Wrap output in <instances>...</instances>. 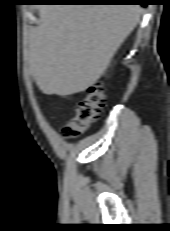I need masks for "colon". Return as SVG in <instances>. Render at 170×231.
<instances>
[{
    "instance_id": "5ec220e1",
    "label": "colon",
    "mask_w": 170,
    "mask_h": 231,
    "mask_svg": "<svg viewBox=\"0 0 170 231\" xmlns=\"http://www.w3.org/2000/svg\"><path fill=\"white\" fill-rule=\"evenodd\" d=\"M105 101V86L101 82H95L76 106L74 114L66 120L62 130L64 136L74 138L86 132L98 119Z\"/></svg>"
}]
</instances>
